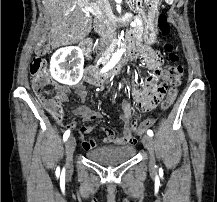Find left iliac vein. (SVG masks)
<instances>
[{"mask_svg": "<svg viewBox=\"0 0 217 202\" xmlns=\"http://www.w3.org/2000/svg\"><path fill=\"white\" fill-rule=\"evenodd\" d=\"M142 142H143V145L145 146V148L148 150V153L150 156V165L153 166L155 164L154 141L150 136L144 135L142 137Z\"/></svg>", "mask_w": 217, "mask_h": 202, "instance_id": "1", "label": "left iliac vein"}]
</instances>
